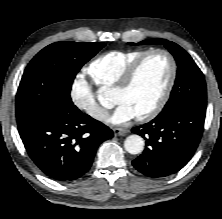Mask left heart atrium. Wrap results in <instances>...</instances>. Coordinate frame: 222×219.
Instances as JSON below:
<instances>
[{
	"instance_id": "39dd6f15",
	"label": "left heart atrium",
	"mask_w": 222,
	"mask_h": 219,
	"mask_svg": "<svg viewBox=\"0 0 222 219\" xmlns=\"http://www.w3.org/2000/svg\"><path fill=\"white\" fill-rule=\"evenodd\" d=\"M136 117L134 110L125 103H119L112 115L109 117L108 122L113 125H122Z\"/></svg>"
}]
</instances>
